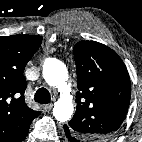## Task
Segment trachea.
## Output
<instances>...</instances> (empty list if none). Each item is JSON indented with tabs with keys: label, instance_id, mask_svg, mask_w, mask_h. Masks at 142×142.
<instances>
[{
	"label": "trachea",
	"instance_id": "1",
	"mask_svg": "<svg viewBox=\"0 0 142 142\" xmlns=\"http://www.w3.org/2000/svg\"><path fill=\"white\" fill-rule=\"evenodd\" d=\"M34 100L41 104H47L51 100L49 91L46 88H40L37 90Z\"/></svg>",
	"mask_w": 142,
	"mask_h": 142
}]
</instances>
